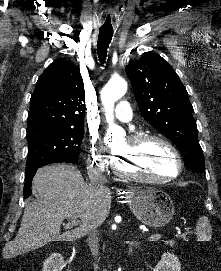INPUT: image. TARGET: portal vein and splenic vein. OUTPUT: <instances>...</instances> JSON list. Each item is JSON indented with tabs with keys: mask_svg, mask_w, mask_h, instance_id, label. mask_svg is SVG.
<instances>
[{
	"mask_svg": "<svg viewBox=\"0 0 221 271\" xmlns=\"http://www.w3.org/2000/svg\"><path fill=\"white\" fill-rule=\"evenodd\" d=\"M79 219L77 217H68V225L69 227H74V225H78ZM150 241H155V240H161L163 237L161 235H148L146 237Z\"/></svg>",
	"mask_w": 221,
	"mask_h": 271,
	"instance_id": "18ae733b",
	"label": "portal vein and splenic vein"
}]
</instances>
